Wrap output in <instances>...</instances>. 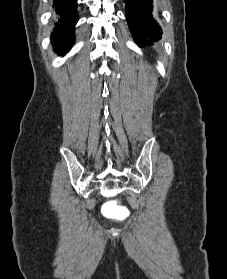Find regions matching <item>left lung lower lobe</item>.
Instances as JSON below:
<instances>
[{"label":"left lung lower lobe","mask_w":227,"mask_h":279,"mask_svg":"<svg viewBox=\"0 0 227 279\" xmlns=\"http://www.w3.org/2000/svg\"><path fill=\"white\" fill-rule=\"evenodd\" d=\"M126 18L135 42L139 46L151 45L161 38L162 30L154 20L153 0H124Z\"/></svg>","instance_id":"0a47b994"}]
</instances>
